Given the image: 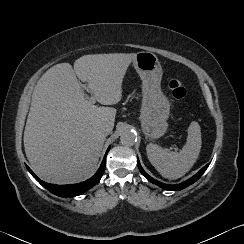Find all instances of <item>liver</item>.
I'll list each match as a JSON object with an SVG mask.
<instances>
[{
	"mask_svg": "<svg viewBox=\"0 0 244 244\" xmlns=\"http://www.w3.org/2000/svg\"><path fill=\"white\" fill-rule=\"evenodd\" d=\"M136 54L84 55L47 70L35 86L24 131V148L33 171L43 180L71 184L90 177L97 167L105 136L99 125L114 126L116 109L85 99L79 78L94 99L115 105Z\"/></svg>",
	"mask_w": 244,
	"mask_h": 244,
	"instance_id": "obj_1",
	"label": "liver"
}]
</instances>
